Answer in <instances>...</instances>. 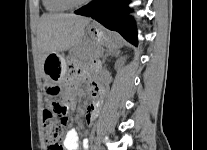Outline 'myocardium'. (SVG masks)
Returning <instances> with one entry per match:
<instances>
[{"instance_id":"1","label":"myocardium","mask_w":207,"mask_h":150,"mask_svg":"<svg viewBox=\"0 0 207 150\" xmlns=\"http://www.w3.org/2000/svg\"><path fill=\"white\" fill-rule=\"evenodd\" d=\"M68 8H78L87 4L90 0H61Z\"/></svg>"}]
</instances>
